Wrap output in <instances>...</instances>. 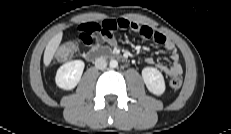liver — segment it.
Wrapping results in <instances>:
<instances>
[{
	"mask_svg": "<svg viewBox=\"0 0 231 134\" xmlns=\"http://www.w3.org/2000/svg\"><path fill=\"white\" fill-rule=\"evenodd\" d=\"M62 36H63L62 32L57 33L55 36L52 37V39L46 45L44 51V57H43L45 66H48L51 63L53 56L61 43Z\"/></svg>",
	"mask_w": 231,
	"mask_h": 134,
	"instance_id": "obj_1",
	"label": "liver"
}]
</instances>
